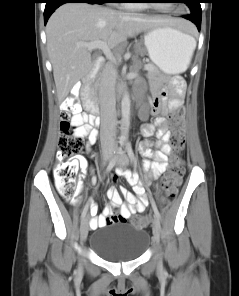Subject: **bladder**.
Returning <instances> with one entry per match:
<instances>
[{
    "label": "bladder",
    "mask_w": 239,
    "mask_h": 296,
    "mask_svg": "<svg viewBox=\"0 0 239 296\" xmlns=\"http://www.w3.org/2000/svg\"><path fill=\"white\" fill-rule=\"evenodd\" d=\"M150 245L144 229L127 223L109 224L94 233L91 249L111 262H128L141 257Z\"/></svg>",
    "instance_id": "31cf9c89"
}]
</instances>
